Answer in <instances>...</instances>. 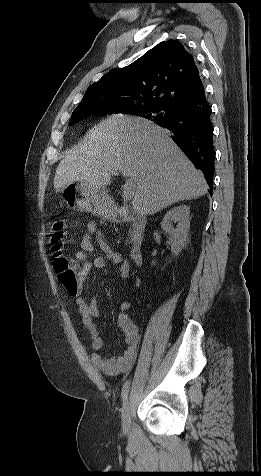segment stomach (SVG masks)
I'll return each instance as SVG.
<instances>
[{
  "mask_svg": "<svg viewBox=\"0 0 261 476\" xmlns=\"http://www.w3.org/2000/svg\"><path fill=\"white\" fill-rule=\"evenodd\" d=\"M62 195L73 210L91 212L105 219L115 216L113 201L105 188L78 181L65 186Z\"/></svg>",
  "mask_w": 261,
  "mask_h": 476,
  "instance_id": "obj_1",
  "label": "stomach"
}]
</instances>
